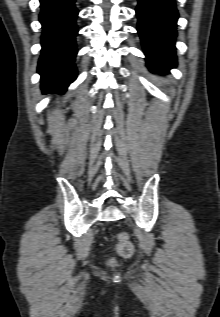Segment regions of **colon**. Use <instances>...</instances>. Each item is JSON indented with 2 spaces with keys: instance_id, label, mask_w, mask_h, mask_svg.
I'll use <instances>...</instances> for the list:
<instances>
[{
  "instance_id": "obj_1",
  "label": "colon",
  "mask_w": 220,
  "mask_h": 317,
  "mask_svg": "<svg viewBox=\"0 0 220 317\" xmlns=\"http://www.w3.org/2000/svg\"><path fill=\"white\" fill-rule=\"evenodd\" d=\"M119 255L123 258H129L133 253L132 244L126 239L125 236H121L118 243Z\"/></svg>"
}]
</instances>
